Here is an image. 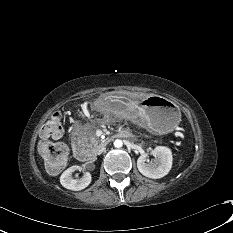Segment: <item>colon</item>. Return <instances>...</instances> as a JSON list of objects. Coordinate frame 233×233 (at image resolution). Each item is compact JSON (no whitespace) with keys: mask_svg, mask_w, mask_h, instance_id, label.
Here are the masks:
<instances>
[{"mask_svg":"<svg viewBox=\"0 0 233 233\" xmlns=\"http://www.w3.org/2000/svg\"><path fill=\"white\" fill-rule=\"evenodd\" d=\"M63 114L55 111L43 125L41 134L45 138L39 145V152L49 172L61 171L68 159V147L63 142L50 141L47 138L62 132Z\"/></svg>","mask_w":233,"mask_h":233,"instance_id":"colon-1","label":"colon"}]
</instances>
